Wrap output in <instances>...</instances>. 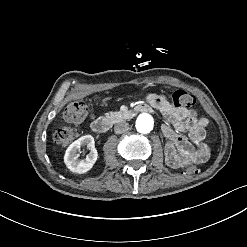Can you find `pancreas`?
<instances>
[{"label":"pancreas","mask_w":247,"mask_h":247,"mask_svg":"<svg viewBox=\"0 0 247 247\" xmlns=\"http://www.w3.org/2000/svg\"><path fill=\"white\" fill-rule=\"evenodd\" d=\"M104 116L109 122H118L120 120H123L124 118H129L131 114L111 111L105 113Z\"/></svg>","instance_id":"obj_1"}]
</instances>
